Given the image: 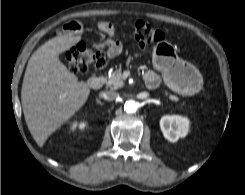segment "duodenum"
I'll return each instance as SVG.
<instances>
[{
  "mask_svg": "<svg viewBox=\"0 0 245 195\" xmlns=\"http://www.w3.org/2000/svg\"><path fill=\"white\" fill-rule=\"evenodd\" d=\"M104 81L105 79L103 76H92L87 80V84L89 85V87L97 89L104 84ZM146 84L151 89L156 88L158 86L156 82H151V83L146 82Z\"/></svg>",
  "mask_w": 245,
  "mask_h": 195,
  "instance_id": "obj_1",
  "label": "duodenum"
}]
</instances>
